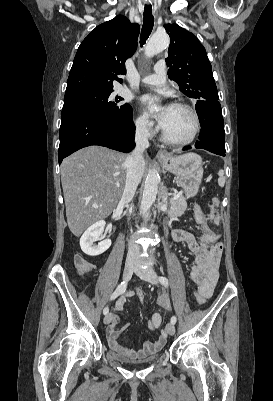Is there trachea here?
<instances>
[{"mask_svg":"<svg viewBox=\"0 0 273 401\" xmlns=\"http://www.w3.org/2000/svg\"><path fill=\"white\" fill-rule=\"evenodd\" d=\"M144 20H143V26L141 30V36H140V45L143 46L149 38V35L152 32L153 25H154V18L152 14V6L151 5H145L144 8Z\"/></svg>","mask_w":273,"mask_h":401,"instance_id":"3493384b","label":"trachea"}]
</instances>
